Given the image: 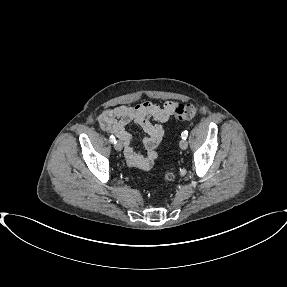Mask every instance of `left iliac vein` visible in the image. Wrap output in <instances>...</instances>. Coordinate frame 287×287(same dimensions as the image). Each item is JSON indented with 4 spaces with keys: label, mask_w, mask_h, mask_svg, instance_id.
<instances>
[{
    "label": "left iliac vein",
    "mask_w": 287,
    "mask_h": 287,
    "mask_svg": "<svg viewBox=\"0 0 287 287\" xmlns=\"http://www.w3.org/2000/svg\"><path fill=\"white\" fill-rule=\"evenodd\" d=\"M179 146H180V148H181L182 150H186L187 147H188V143H187L186 140L182 139V140H180V142H179Z\"/></svg>",
    "instance_id": "1"
}]
</instances>
